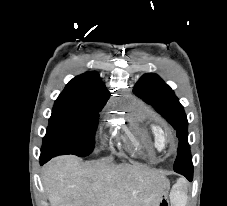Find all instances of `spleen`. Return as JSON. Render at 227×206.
I'll use <instances>...</instances> for the list:
<instances>
[{
    "mask_svg": "<svg viewBox=\"0 0 227 206\" xmlns=\"http://www.w3.org/2000/svg\"><path fill=\"white\" fill-rule=\"evenodd\" d=\"M170 197L174 206H186L187 196L179 186L174 187Z\"/></svg>",
    "mask_w": 227,
    "mask_h": 206,
    "instance_id": "spleen-1",
    "label": "spleen"
}]
</instances>
